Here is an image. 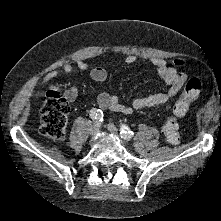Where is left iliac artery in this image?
<instances>
[{
    "label": "left iliac artery",
    "instance_id": "44dca946",
    "mask_svg": "<svg viewBox=\"0 0 221 221\" xmlns=\"http://www.w3.org/2000/svg\"><path fill=\"white\" fill-rule=\"evenodd\" d=\"M120 134L121 137L124 138L125 140H130L134 135V133L126 125L121 126Z\"/></svg>",
    "mask_w": 221,
    "mask_h": 221
}]
</instances>
